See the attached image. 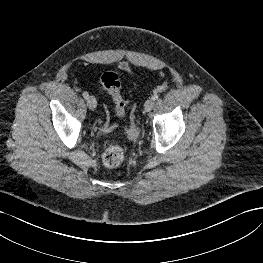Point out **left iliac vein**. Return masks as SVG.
<instances>
[{"label":"left iliac vein","instance_id":"left-iliac-vein-1","mask_svg":"<svg viewBox=\"0 0 263 263\" xmlns=\"http://www.w3.org/2000/svg\"><path fill=\"white\" fill-rule=\"evenodd\" d=\"M154 104H155V100L153 98H149L146 102H145V105H144V109L146 112H149L153 109L154 107Z\"/></svg>","mask_w":263,"mask_h":263}]
</instances>
